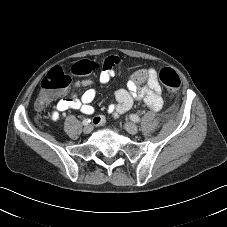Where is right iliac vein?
<instances>
[{
    "label": "right iliac vein",
    "mask_w": 227,
    "mask_h": 227,
    "mask_svg": "<svg viewBox=\"0 0 227 227\" xmlns=\"http://www.w3.org/2000/svg\"><path fill=\"white\" fill-rule=\"evenodd\" d=\"M92 130H93L92 125H86V126L83 128V132H84L85 134H89Z\"/></svg>",
    "instance_id": "63e3f726"
}]
</instances>
